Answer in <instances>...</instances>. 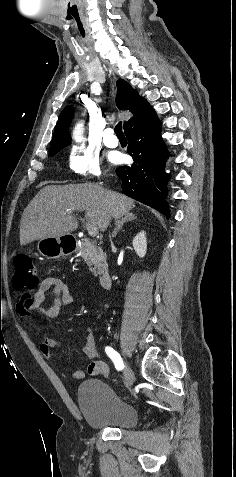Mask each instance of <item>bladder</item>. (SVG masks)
Segmentation results:
<instances>
[{"mask_svg":"<svg viewBox=\"0 0 236 477\" xmlns=\"http://www.w3.org/2000/svg\"><path fill=\"white\" fill-rule=\"evenodd\" d=\"M77 401L84 419L91 426L131 429L138 424L137 407L120 398L103 380H84L79 385Z\"/></svg>","mask_w":236,"mask_h":477,"instance_id":"31cf9c89","label":"bladder"}]
</instances>
